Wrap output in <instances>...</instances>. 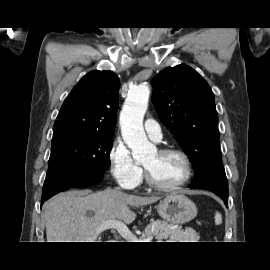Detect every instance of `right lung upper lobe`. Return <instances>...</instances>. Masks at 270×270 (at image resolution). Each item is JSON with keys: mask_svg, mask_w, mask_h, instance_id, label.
<instances>
[{"mask_svg": "<svg viewBox=\"0 0 270 270\" xmlns=\"http://www.w3.org/2000/svg\"><path fill=\"white\" fill-rule=\"evenodd\" d=\"M120 81L112 71H91L73 88L53 132L73 130L114 134Z\"/></svg>", "mask_w": 270, "mask_h": 270, "instance_id": "1", "label": "right lung upper lobe"}]
</instances>
